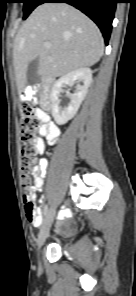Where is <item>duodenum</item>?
Instances as JSON below:
<instances>
[{
  "label": "duodenum",
  "instance_id": "1",
  "mask_svg": "<svg viewBox=\"0 0 136 296\" xmlns=\"http://www.w3.org/2000/svg\"><path fill=\"white\" fill-rule=\"evenodd\" d=\"M53 81H54L53 78H45L41 85V105L45 109H48L50 106V90H51Z\"/></svg>",
  "mask_w": 136,
  "mask_h": 296
}]
</instances>
